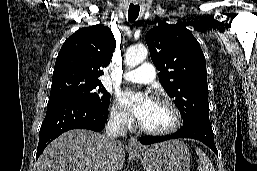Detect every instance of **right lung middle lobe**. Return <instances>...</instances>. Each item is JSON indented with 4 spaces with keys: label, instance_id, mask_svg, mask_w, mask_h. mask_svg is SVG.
<instances>
[{
    "label": "right lung middle lobe",
    "instance_id": "1",
    "mask_svg": "<svg viewBox=\"0 0 257 171\" xmlns=\"http://www.w3.org/2000/svg\"><path fill=\"white\" fill-rule=\"evenodd\" d=\"M62 99L83 100L98 108L107 109L110 94L101 82L73 83L58 89H52L48 102Z\"/></svg>",
    "mask_w": 257,
    "mask_h": 171
}]
</instances>
